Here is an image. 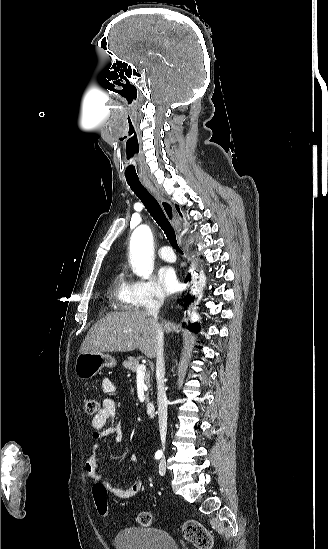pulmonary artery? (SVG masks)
<instances>
[{
  "instance_id": "e3ab8cb5",
  "label": "pulmonary artery",
  "mask_w": 328,
  "mask_h": 549,
  "mask_svg": "<svg viewBox=\"0 0 328 549\" xmlns=\"http://www.w3.org/2000/svg\"><path fill=\"white\" fill-rule=\"evenodd\" d=\"M158 255L161 259H163L166 262H172V261L175 260V255L169 249H164V250L159 251Z\"/></svg>"
}]
</instances>
